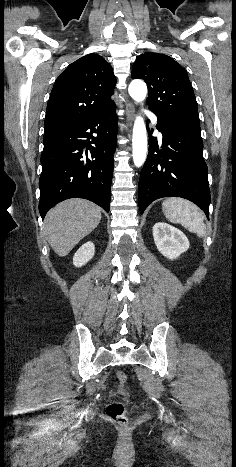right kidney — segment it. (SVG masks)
I'll list each match as a JSON object with an SVG mask.
<instances>
[{
    "label": "right kidney",
    "instance_id": "ca27d5eb",
    "mask_svg": "<svg viewBox=\"0 0 236 467\" xmlns=\"http://www.w3.org/2000/svg\"><path fill=\"white\" fill-rule=\"evenodd\" d=\"M95 246L92 242L83 244L73 257V264L76 267L85 265L94 256Z\"/></svg>",
    "mask_w": 236,
    "mask_h": 467
}]
</instances>
